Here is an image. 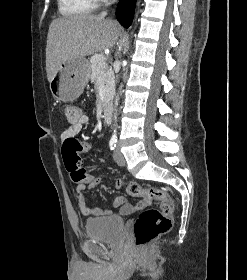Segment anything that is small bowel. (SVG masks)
Instances as JSON below:
<instances>
[{
    "label": "small bowel",
    "instance_id": "small-bowel-1",
    "mask_svg": "<svg viewBox=\"0 0 247 280\" xmlns=\"http://www.w3.org/2000/svg\"><path fill=\"white\" fill-rule=\"evenodd\" d=\"M89 122V116L86 114H80L79 118L69 124V126L62 132L61 140L62 143L69 139H75L76 135L81 131L82 127ZM86 190H81L76 187V195L79 202V207L81 213L84 216H102V215H111L113 213L112 209H101L98 207L88 206L86 203ZM147 203L145 201L139 202L136 206L126 203L125 198L122 196L117 197L113 205L115 208L120 209L121 214H129L136 209L143 208Z\"/></svg>",
    "mask_w": 247,
    "mask_h": 280
}]
</instances>
